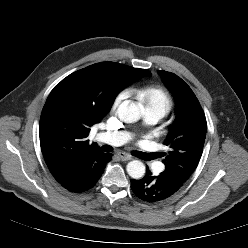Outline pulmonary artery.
<instances>
[{"instance_id":"e3ab8cb5","label":"pulmonary artery","mask_w":248,"mask_h":248,"mask_svg":"<svg viewBox=\"0 0 248 248\" xmlns=\"http://www.w3.org/2000/svg\"><path fill=\"white\" fill-rule=\"evenodd\" d=\"M164 117V114L160 111L146 109L145 110V121L148 124H155L161 118ZM130 134L127 132H101L97 135L96 139L99 142H103L106 144L119 146L126 143L130 139Z\"/></svg>"}]
</instances>
